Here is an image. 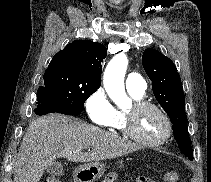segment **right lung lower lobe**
<instances>
[{
    "mask_svg": "<svg viewBox=\"0 0 211 182\" xmlns=\"http://www.w3.org/2000/svg\"><path fill=\"white\" fill-rule=\"evenodd\" d=\"M37 100V108L34 111L37 115H45L54 112L66 115H79L53 100L52 98H37Z\"/></svg>",
    "mask_w": 211,
    "mask_h": 182,
    "instance_id": "98d812e1",
    "label": "right lung lower lobe"
}]
</instances>
